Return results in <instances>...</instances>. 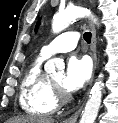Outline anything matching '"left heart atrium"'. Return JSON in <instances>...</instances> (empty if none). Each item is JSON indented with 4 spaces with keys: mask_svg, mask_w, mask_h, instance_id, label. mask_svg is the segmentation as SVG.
Wrapping results in <instances>:
<instances>
[{
    "mask_svg": "<svg viewBox=\"0 0 118 123\" xmlns=\"http://www.w3.org/2000/svg\"><path fill=\"white\" fill-rule=\"evenodd\" d=\"M91 65L86 57L72 56L68 59L62 87L68 92L79 90L88 81Z\"/></svg>",
    "mask_w": 118,
    "mask_h": 123,
    "instance_id": "1",
    "label": "left heart atrium"
}]
</instances>
